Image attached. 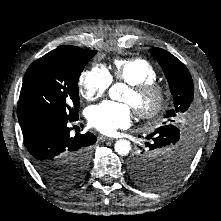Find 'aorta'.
Instances as JSON below:
<instances>
[{"label": "aorta", "instance_id": "1", "mask_svg": "<svg viewBox=\"0 0 221 221\" xmlns=\"http://www.w3.org/2000/svg\"><path fill=\"white\" fill-rule=\"evenodd\" d=\"M121 84L117 83L109 90V96L114 99L116 97V94L120 88ZM115 151L117 154L121 156H126L129 154L131 150L130 142L126 139H119L115 142L114 145Z\"/></svg>", "mask_w": 221, "mask_h": 221}]
</instances>
